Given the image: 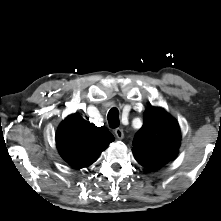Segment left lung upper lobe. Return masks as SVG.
<instances>
[{
  "instance_id": "left-lung-upper-lobe-1",
  "label": "left lung upper lobe",
  "mask_w": 221,
  "mask_h": 221,
  "mask_svg": "<svg viewBox=\"0 0 221 221\" xmlns=\"http://www.w3.org/2000/svg\"><path fill=\"white\" fill-rule=\"evenodd\" d=\"M143 120L132 151L139 164L149 170H156L177 155L180 145L179 125L171 115L158 107L148 108Z\"/></svg>"
}]
</instances>
